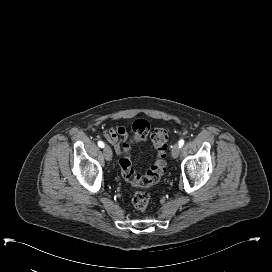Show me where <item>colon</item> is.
I'll return each mask as SVG.
<instances>
[{
	"label": "colon",
	"instance_id": "obj_1",
	"mask_svg": "<svg viewBox=\"0 0 272 272\" xmlns=\"http://www.w3.org/2000/svg\"><path fill=\"white\" fill-rule=\"evenodd\" d=\"M133 139L122 145L119 165L123 178L140 187H151L156 184L166 171V153L168 149L169 132L164 127H152L145 119H137L132 124ZM149 138L156 150V159L144 176L134 172L130 156L131 145ZM149 195L146 192H136L132 199V207L140 213H144L149 205Z\"/></svg>",
	"mask_w": 272,
	"mask_h": 272
}]
</instances>
